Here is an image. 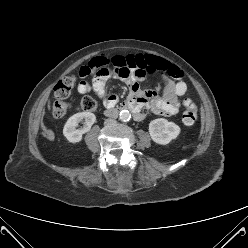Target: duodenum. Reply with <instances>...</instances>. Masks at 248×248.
I'll use <instances>...</instances> for the list:
<instances>
[{"instance_id":"410a0bca","label":"duodenum","mask_w":248,"mask_h":248,"mask_svg":"<svg viewBox=\"0 0 248 248\" xmlns=\"http://www.w3.org/2000/svg\"><path fill=\"white\" fill-rule=\"evenodd\" d=\"M123 110H130L134 112V106L133 103L129 100H126L122 105H120L118 108L112 109L107 108L105 111V114L110 117L118 116V114Z\"/></svg>"}]
</instances>
